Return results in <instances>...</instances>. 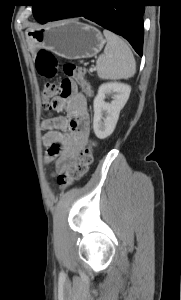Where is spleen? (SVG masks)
Returning a JSON list of instances; mask_svg holds the SVG:
<instances>
[{
    "label": "spleen",
    "instance_id": "spleen-1",
    "mask_svg": "<svg viewBox=\"0 0 181 300\" xmlns=\"http://www.w3.org/2000/svg\"><path fill=\"white\" fill-rule=\"evenodd\" d=\"M103 34L107 40L104 53L96 61L100 79H128L135 74L136 62L128 44L109 30Z\"/></svg>",
    "mask_w": 181,
    "mask_h": 300
}]
</instances>
